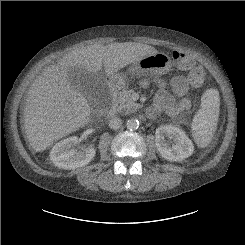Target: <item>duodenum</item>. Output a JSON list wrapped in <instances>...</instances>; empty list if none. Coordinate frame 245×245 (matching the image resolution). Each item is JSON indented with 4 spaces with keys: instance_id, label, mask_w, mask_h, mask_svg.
Masks as SVG:
<instances>
[{
    "instance_id": "1",
    "label": "duodenum",
    "mask_w": 245,
    "mask_h": 245,
    "mask_svg": "<svg viewBox=\"0 0 245 245\" xmlns=\"http://www.w3.org/2000/svg\"><path fill=\"white\" fill-rule=\"evenodd\" d=\"M121 87H122V82L118 77L112 76L108 79V91L111 96V102L107 110L105 111V116L107 118H112L116 114L114 98L116 94L120 91Z\"/></svg>"
}]
</instances>
